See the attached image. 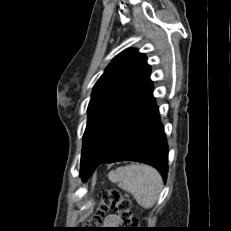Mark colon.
Here are the masks:
<instances>
[{
  "label": "colon",
  "instance_id": "colon-1",
  "mask_svg": "<svg viewBox=\"0 0 231 231\" xmlns=\"http://www.w3.org/2000/svg\"><path fill=\"white\" fill-rule=\"evenodd\" d=\"M132 203L130 199L124 197L117 189H105L100 192V205L96 214L92 217L91 222L94 224L100 223L103 216L108 210H113L120 222L124 226L136 224V219L133 216Z\"/></svg>",
  "mask_w": 231,
  "mask_h": 231
}]
</instances>
